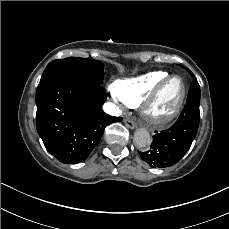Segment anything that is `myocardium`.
Segmentation results:
<instances>
[{"instance_id":"f54148a6","label":"myocardium","mask_w":229,"mask_h":229,"mask_svg":"<svg viewBox=\"0 0 229 229\" xmlns=\"http://www.w3.org/2000/svg\"><path fill=\"white\" fill-rule=\"evenodd\" d=\"M176 79L181 80V82L183 83V87H184V93H183V97L181 101L179 102L177 107L169 114L163 117H160V118L154 117L150 113V110H149L150 104L155 100V98L159 95V92L163 90L164 87L171 84ZM187 97H188V88H187L185 80L181 76L172 75L170 77H165L163 80H161L155 86L152 87V89L147 94V96L143 97V103L146 104L145 109H144V115L147 121L150 123V125L154 127H163V126L170 124L181 114L183 107L187 101Z\"/></svg>"}]
</instances>
